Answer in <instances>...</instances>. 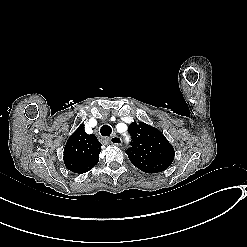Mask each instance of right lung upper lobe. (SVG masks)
Returning <instances> with one entry per match:
<instances>
[{"label":"right lung upper lobe","mask_w":247,"mask_h":247,"mask_svg":"<svg viewBox=\"0 0 247 247\" xmlns=\"http://www.w3.org/2000/svg\"><path fill=\"white\" fill-rule=\"evenodd\" d=\"M101 146L96 136L86 134L84 125H80L65 145V166L74 173L88 172L98 163Z\"/></svg>","instance_id":"1"}]
</instances>
